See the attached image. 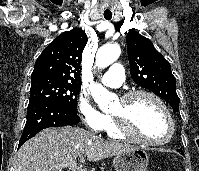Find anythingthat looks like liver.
Returning a JSON list of instances; mask_svg holds the SVG:
<instances>
[{"label":"liver","instance_id":"6515ba94","mask_svg":"<svg viewBox=\"0 0 199 171\" xmlns=\"http://www.w3.org/2000/svg\"><path fill=\"white\" fill-rule=\"evenodd\" d=\"M125 144L105 141L80 128H47L27 141L17 152L14 171H61V164L85 163L135 150Z\"/></svg>","mask_w":199,"mask_h":171}]
</instances>
